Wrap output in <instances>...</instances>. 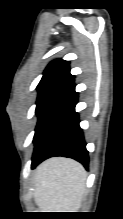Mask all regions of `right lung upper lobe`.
Here are the masks:
<instances>
[{
  "mask_svg": "<svg viewBox=\"0 0 123 219\" xmlns=\"http://www.w3.org/2000/svg\"><path fill=\"white\" fill-rule=\"evenodd\" d=\"M74 76L70 74L69 61L54 60L52 61L43 73V77L38 84L43 86L53 82H73Z\"/></svg>",
  "mask_w": 123,
  "mask_h": 219,
  "instance_id": "1",
  "label": "right lung upper lobe"
}]
</instances>
